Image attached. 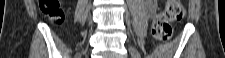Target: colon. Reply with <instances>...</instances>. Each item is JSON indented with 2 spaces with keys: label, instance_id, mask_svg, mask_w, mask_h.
<instances>
[{
  "label": "colon",
  "instance_id": "1",
  "mask_svg": "<svg viewBox=\"0 0 225 58\" xmlns=\"http://www.w3.org/2000/svg\"><path fill=\"white\" fill-rule=\"evenodd\" d=\"M40 11L55 25L64 21V12L57 0H41ZM185 15V8L180 0H169L165 9L159 13L153 22V36L162 43H169L173 37L174 23Z\"/></svg>",
  "mask_w": 225,
  "mask_h": 58
}]
</instances>
